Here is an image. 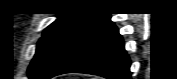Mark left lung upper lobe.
<instances>
[{
  "instance_id": "5c2ea615",
  "label": "left lung upper lobe",
  "mask_w": 177,
  "mask_h": 79,
  "mask_svg": "<svg viewBox=\"0 0 177 79\" xmlns=\"http://www.w3.org/2000/svg\"><path fill=\"white\" fill-rule=\"evenodd\" d=\"M49 25L40 38L28 68L30 79H50L70 50L108 14L64 13Z\"/></svg>"
}]
</instances>
